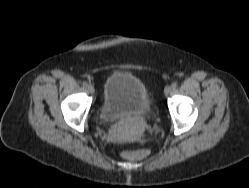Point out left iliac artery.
Segmentation results:
<instances>
[{
  "instance_id": "44dca946",
  "label": "left iliac artery",
  "mask_w": 249,
  "mask_h": 188,
  "mask_svg": "<svg viewBox=\"0 0 249 188\" xmlns=\"http://www.w3.org/2000/svg\"><path fill=\"white\" fill-rule=\"evenodd\" d=\"M171 87H172L173 89H175V88L177 87V83H176V82H173L172 85H171Z\"/></svg>"
}]
</instances>
